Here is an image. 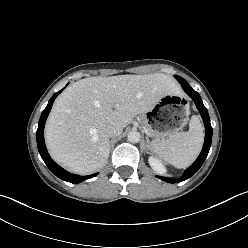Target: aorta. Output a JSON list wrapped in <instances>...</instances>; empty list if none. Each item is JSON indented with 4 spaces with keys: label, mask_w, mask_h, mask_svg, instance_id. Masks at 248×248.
Wrapping results in <instances>:
<instances>
[{
    "label": "aorta",
    "mask_w": 248,
    "mask_h": 248,
    "mask_svg": "<svg viewBox=\"0 0 248 248\" xmlns=\"http://www.w3.org/2000/svg\"><path fill=\"white\" fill-rule=\"evenodd\" d=\"M140 133L138 131H130L127 135V139L131 143H137L140 141Z\"/></svg>",
    "instance_id": "aorta-1"
}]
</instances>
